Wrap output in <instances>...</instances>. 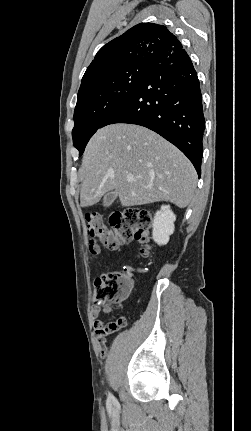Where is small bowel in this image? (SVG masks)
<instances>
[{
	"label": "small bowel",
	"mask_w": 251,
	"mask_h": 431,
	"mask_svg": "<svg viewBox=\"0 0 251 431\" xmlns=\"http://www.w3.org/2000/svg\"><path fill=\"white\" fill-rule=\"evenodd\" d=\"M100 312H101V307L95 305L92 308L91 317L93 321V328H94L96 340L98 344L101 346L100 351L103 354H106L109 351V348L106 345H104L106 336L116 331L117 329L116 330L109 329L108 327L109 324H106L104 320L99 317ZM102 360H107V355H102Z\"/></svg>",
	"instance_id": "1"
}]
</instances>
